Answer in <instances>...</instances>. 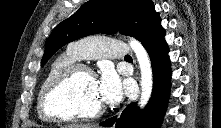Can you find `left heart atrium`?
<instances>
[{
  "label": "left heart atrium",
  "mask_w": 221,
  "mask_h": 128,
  "mask_svg": "<svg viewBox=\"0 0 221 128\" xmlns=\"http://www.w3.org/2000/svg\"><path fill=\"white\" fill-rule=\"evenodd\" d=\"M96 84L103 103L115 104L121 99L122 86L118 77L111 69L104 68Z\"/></svg>",
  "instance_id": "left-heart-atrium-1"
}]
</instances>
